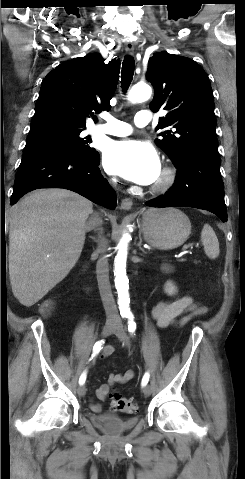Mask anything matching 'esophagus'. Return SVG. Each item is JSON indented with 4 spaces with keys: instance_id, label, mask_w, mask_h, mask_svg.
Segmentation results:
<instances>
[{
    "instance_id": "1",
    "label": "esophagus",
    "mask_w": 245,
    "mask_h": 479,
    "mask_svg": "<svg viewBox=\"0 0 245 479\" xmlns=\"http://www.w3.org/2000/svg\"><path fill=\"white\" fill-rule=\"evenodd\" d=\"M125 50L128 54L133 55L134 54V44L132 42H125ZM133 203L132 200L129 198H123L121 200L120 207L123 210H129L131 209Z\"/></svg>"
}]
</instances>
